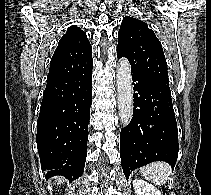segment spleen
<instances>
[{"label":"spleen","instance_id":"obj_1","mask_svg":"<svg viewBox=\"0 0 211 195\" xmlns=\"http://www.w3.org/2000/svg\"><path fill=\"white\" fill-rule=\"evenodd\" d=\"M142 176L155 184L165 183L171 176V166L164 162H154L140 169Z\"/></svg>","mask_w":211,"mask_h":195}]
</instances>
